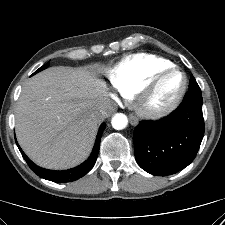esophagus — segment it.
Here are the masks:
<instances>
[{"instance_id": "esophagus-1", "label": "esophagus", "mask_w": 225, "mask_h": 225, "mask_svg": "<svg viewBox=\"0 0 225 225\" xmlns=\"http://www.w3.org/2000/svg\"><path fill=\"white\" fill-rule=\"evenodd\" d=\"M129 119H130V123L134 126H136L138 124V119L135 115L130 114L129 115Z\"/></svg>"}]
</instances>
